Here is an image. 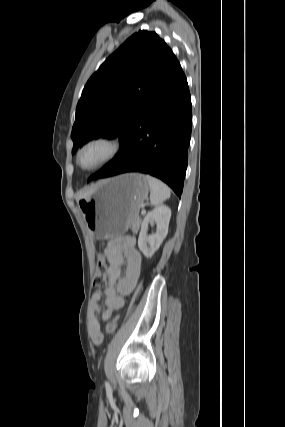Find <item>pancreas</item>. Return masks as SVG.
Returning a JSON list of instances; mask_svg holds the SVG:
<instances>
[{
    "instance_id": "1",
    "label": "pancreas",
    "mask_w": 285,
    "mask_h": 427,
    "mask_svg": "<svg viewBox=\"0 0 285 427\" xmlns=\"http://www.w3.org/2000/svg\"><path fill=\"white\" fill-rule=\"evenodd\" d=\"M140 223H141V219L136 218V220L133 222V224L131 226L132 231L136 232L139 228Z\"/></svg>"
}]
</instances>
